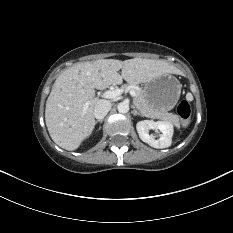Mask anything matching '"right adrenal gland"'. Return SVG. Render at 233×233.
I'll return each instance as SVG.
<instances>
[{
    "mask_svg": "<svg viewBox=\"0 0 233 233\" xmlns=\"http://www.w3.org/2000/svg\"><path fill=\"white\" fill-rule=\"evenodd\" d=\"M98 122L102 123L103 120H97V121L95 122V124H97Z\"/></svg>",
    "mask_w": 233,
    "mask_h": 233,
    "instance_id": "obj_1",
    "label": "right adrenal gland"
}]
</instances>
